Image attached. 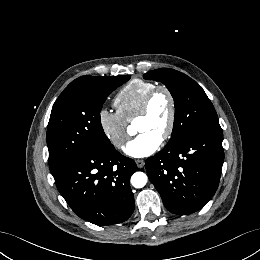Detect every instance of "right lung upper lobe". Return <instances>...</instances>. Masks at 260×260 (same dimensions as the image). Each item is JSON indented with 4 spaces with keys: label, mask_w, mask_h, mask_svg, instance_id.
Masks as SVG:
<instances>
[{
    "label": "right lung upper lobe",
    "mask_w": 260,
    "mask_h": 260,
    "mask_svg": "<svg viewBox=\"0 0 260 260\" xmlns=\"http://www.w3.org/2000/svg\"><path fill=\"white\" fill-rule=\"evenodd\" d=\"M92 77H95V76H82V77H79V78H77L76 80H74L73 82H71V83L67 86V88H66L65 90L69 89V88L72 87V86H75V85L84 83V82H86L87 80H89V79L92 78Z\"/></svg>",
    "instance_id": "cb5924a9"
}]
</instances>
